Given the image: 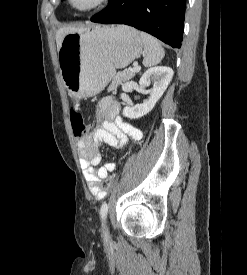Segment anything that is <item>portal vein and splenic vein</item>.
Wrapping results in <instances>:
<instances>
[{
	"label": "portal vein and splenic vein",
	"mask_w": 247,
	"mask_h": 275,
	"mask_svg": "<svg viewBox=\"0 0 247 275\" xmlns=\"http://www.w3.org/2000/svg\"><path fill=\"white\" fill-rule=\"evenodd\" d=\"M140 70H141V68L138 67V66L133 67V68L130 69V71H131V72H134V73L139 72Z\"/></svg>",
	"instance_id": "18ae733b"
}]
</instances>
